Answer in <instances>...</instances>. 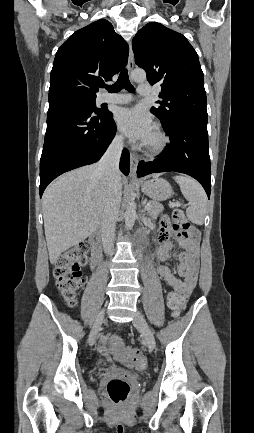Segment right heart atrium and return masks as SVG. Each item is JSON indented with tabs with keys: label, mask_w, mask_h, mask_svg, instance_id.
I'll return each instance as SVG.
<instances>
[{
	"label": "right heart atrium",
	"mask_w": 254,
	"mask_h": 433,
	"mask_svg": "<svg viewBox=\"0 0 254 433\" xmlns=\"http://www.w3.org/2000/svg\"><path fill=\"white\" fill-rule=\"evenodd\" d=\"M114 140H115L116 142H122V140H123V136H122L119 132H117V133L115 134V136H114Z\"/></svg>",
	"instance_id": "d8ad5b80"
}]
</instances>
